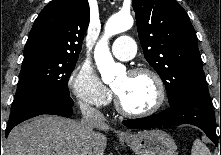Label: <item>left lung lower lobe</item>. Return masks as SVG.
I'll use <instances>...</instances> for the list:
<instances>
[{
  "label": "left lung lower lobe",
  "instance_id": "0a47b994",
  "mask_svg": "<svg viewBox=\"0 0 221 155\" xmlns=\"http://www.w3.org/2000/svg\"><path fill=\"white\" fill-rule=\"evenodd\" d=\"M123 124L132 129L192 124L201 128L217 145L215 114L212 110L207 86L188 90L175 103L171 104L169 109L159 114L140 119L125 120Z\"/></svg>",
  "mask_w": 221,
  "mask_h": 155
}]
</instances>
